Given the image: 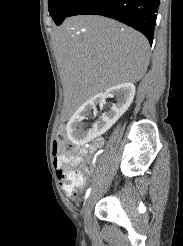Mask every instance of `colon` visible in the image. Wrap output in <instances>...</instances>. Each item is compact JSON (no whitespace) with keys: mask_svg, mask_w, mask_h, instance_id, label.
Listing matches in <instances>:
<instances>
[{"mask_svg":"<svg viewBox=\"0 0 183 246\" xmlns=\"http://www.w3.org/2000/svg\"><path fill=\"white\" fill-rule=\"evenodd\" d=\"M68 149L66 128L64 125H59L56 129L55 139L53 142V152L55 155H62ZM68 183L70 190L73 195L76 194L77 190L80 188L84 176L75 171H69L67 173Z\"/></svg>","mask_w":183,"mask_h":246,"instance_id":"1","label":"colon"}]
</instances>
